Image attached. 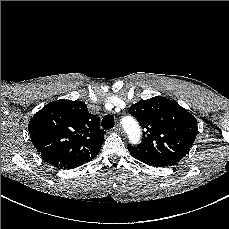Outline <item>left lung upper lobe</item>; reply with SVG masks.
<instances>
[{"label":"left lung upper lobe","mask_w":229,"mask_h":229,"mask_svg":"<svg viewBox=\"0 0 229 229\" xmlns=\"http://www.w3.org/2000/svg\"><path fill=\"white\" fill-rule=\"evenodd\" d=\"M129 112L144 129L139 145H127L134 158L172 165L189 152L198 132L197 121L177 102L156 96L132 104Z\"/></svg>","instance_id":"5c2ea615"}]
</instances>
